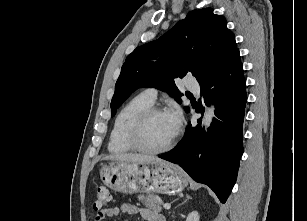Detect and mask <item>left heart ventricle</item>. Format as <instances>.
<instances>
[{
  "label": "left heart ventricle",
  "instance_id": "1",
  "mask_svg": "<svg viewBox=\"0 0 307 221\" xmlns=\"http://www.w3.org/2000/svg\"><path fill=\"white\" fill-rule=\"evenodd\" d=\"M175 129L168 113L156 114L147 122L142 135V142L150 148L165 145L174 135Z\"/></svg>",
  "mask_w": 307,
  "mask_h": 221
}]
</instances>
